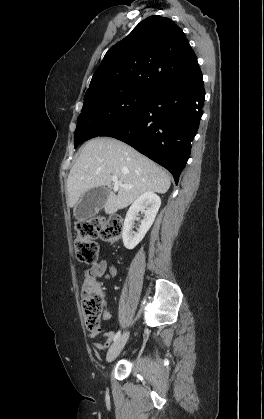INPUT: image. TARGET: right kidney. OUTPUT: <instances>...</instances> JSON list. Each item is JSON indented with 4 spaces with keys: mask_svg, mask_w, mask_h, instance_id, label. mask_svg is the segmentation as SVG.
<instances>
[{
    "mask_svg": "<svg viewBox=\"0 0 264 419\" xmlns=\"http://www.w3.org/2000/svg\"><path fill=\"white\" fill-rule=\"evenodd\" d=\"M160 205V197L152 191L143 193L134 201L126 214L122 230L123 243L127 249H133L142 241L152 226ZM139 212L144 213V218L137 232H134L132 228Z\"/></svg>",
    "mask_w": 264,
    "mask_h": 419,
    "instance_id": "obj_1",
    "label": "right kidney"
}]
</instances>
